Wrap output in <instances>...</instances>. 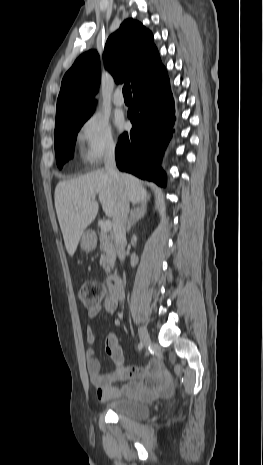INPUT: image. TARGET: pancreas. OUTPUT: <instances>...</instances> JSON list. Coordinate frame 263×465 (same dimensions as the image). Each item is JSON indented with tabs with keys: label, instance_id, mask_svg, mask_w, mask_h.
<instances>
[{
	"label": "pancreas",
	"instance_id": "obj_1",
	"mask_svg": "<svg viewBox=\"0 0 263 465\" xmlns=\"http://www.w3.org/2000/svg\"><path fill=\"white\" fill-rule=\"evenodd\" d=\"M100 250L103 252L100 258V266H102L106 272L110 271V268L114 265L116 259L115 248L110 239V236L106 232L101 231L99 234Z\"/></svg>",
	"mask_w": 263,
	"mask_h": 465
}]
</instances>
